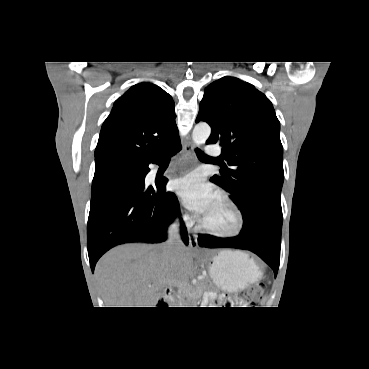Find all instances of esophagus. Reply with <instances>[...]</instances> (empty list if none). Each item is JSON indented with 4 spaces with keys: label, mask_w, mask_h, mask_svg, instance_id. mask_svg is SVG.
Returning a JSON list of instances; mask_svg holds the SVG:
<instances>
[{
    "label": "esophagus",
    "mask_w": 369,
    "mask_h": 369,
    "mask_svg": "<svg viewBox=\"0 0 369 369\" xmlns=\"http://www.w3.org/2000/svg\"><path fill=\"white\" fill-rule=\"evenodd\" d=\"M194 149H195V146H194L193 142L190 139H187L184 142V145H183L184 155L186 157L187 156H193L194 155ZM197 246H198L197 235L192 233V232H189V247L194 250L195 248H197Z\"/></svg>",
    "instance_id": "obj_1"
}]
</instances>
